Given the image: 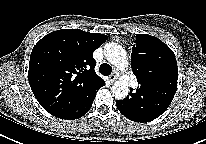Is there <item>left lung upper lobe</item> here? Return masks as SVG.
I'll list each match as a JSON object with an SVG mask.
<instances>
[{
	"label": "left lung upper lobe",
	"mask_w": 206,
	"mask_h": 144,
	"mask_svg": "<svg viewBox=\"0 0 206 144\" xmlns=\"http://www.w3.org/2000/svg\"><path fill=\"white\" fill-rule=\"evenodd\" d=\"M131 65L140 84L138 90H143L151 98L162 97L169 106L178 80V66L173 51L154 36L137 34L132 47ZM136 101L132 99L129 102L134 113L140 109Z\"/></svg>",
	"instance_id": "obj_1"
}]
</instances>
